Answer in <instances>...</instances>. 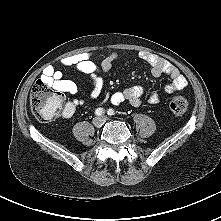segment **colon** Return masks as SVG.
Returning a JSON list of instances; mask_svg holds the SVG:
<instances>
[{
  "label": "colon",
  "instance_id": "obj_1",
  "mask_svg": "<svg viewBox=\"0 0 221 221\" xmlns=\"http://www.w3.org/2000/svg\"><path fill=\"white\" fill-rule=\"evenodd\" d=\"M64 98L61 92L52 90L47 84L37 83L30 94V108L33 115L41 121H50L63 111ZM171 111L182 115L188 110V102L183 97H174L169 103Z\"/></svg>",
  "mask_w": 221,
  "mask_h": 221
}]
</instances>
